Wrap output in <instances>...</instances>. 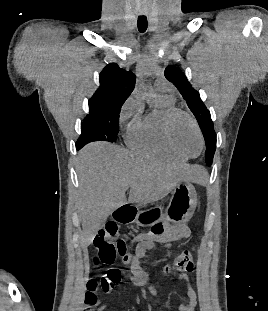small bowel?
I'll return each mask as SVG.
<instances>
[{"instance_id":"small-bowel-1","label":"small bowel","mask_w":268,"mask_h":311,"mask_svg":"<svg viewBox=\"0 0 268 311\" xmlns=\"http://www.w3.org/2000/svg\"><path fill=\"white\" fill-rule=\"evenodd\" d=\"M190 235L191 230L187 225H182L179 227L168 225L163 227L160 223H156L152 227L151 232L135 237L131 241V246H135V253L127 261L129 265L128 273L131 283L139 287L145 286L147 284L148 275L141 268L140 259L148 250L155 248H170L173 243L181 242L189 238ZM177 280L184 283L188 297L186 303L179 305V311H195L198 304V296L189 281L188 275L186 273H181ZM148 291L152 295L157 294V290L154 286L149 285ZM103 309L104 307H101L99 311H102Z\"/></svg>"}]
</instances>
